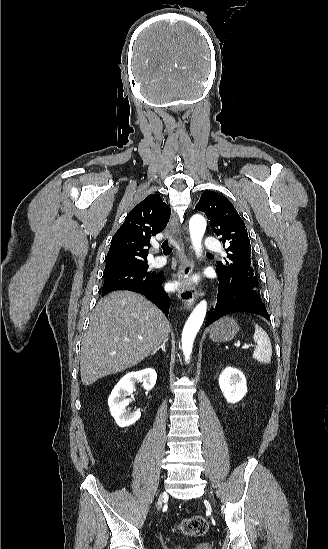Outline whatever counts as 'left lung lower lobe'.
Returning a JSON list of instances; mask_svg holds the SVG:
<instances>
[{"label":"left lung lower lobe","instance_id":"obj_1","mask_svg":"<svg viewBox=\"0 0 328 549\" xmlns=\"http://www.w3.org/2000/svg\"><path fill=\"white\" fill-rule=\"evenodd\" d=\"M219 287L217 303L210 309L205 326L217 319L236 312H248L269 319L261 300L258 282L249 280L228 279L218 274Z\"/></svg>","mask_w":328,"mask_h":549}]
</instances>
